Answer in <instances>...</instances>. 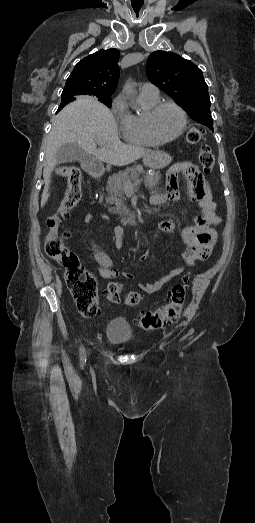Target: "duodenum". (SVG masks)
I'll use <instances>...</instances> for the list:
<instances>
[{
  "label": "duodenum",
  "instance_id": "obj_1",
  "mask_svg": "<svg viewBox=\"0 0 255 523\" xmlns=\"http://www.w3.org/2000/svg\"><path fill=\"white\" fill-rule=\"evenodd\" d=\"M83 167L85 171L94 178H100L105 172L104 165L99 160L93 157L87 158L83 163ZM127 222L131 224H137L139 222V219L135 217H130L127 219Z\"/></svg>",
  "mask_w": 255,
  "mask_h": 523
}]
</instances>
